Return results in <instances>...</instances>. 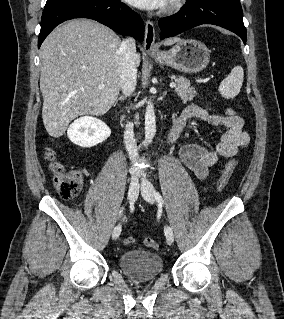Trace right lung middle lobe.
<instances>
[{"label":"right lung middle lobe","instance_id":"obj_1","mask_svg":"<svg viewBox=\"0 0 284 319\" xmlns=\"http://www.w3.org/2000/svg\"><path fill=\"white\" fill-rule=\"evenodd\" d=\"M54 1H56V0H47L46 3H51V2H54Z\"/></svg>","mask_w":284,"mask_h":319}]
</instances>
